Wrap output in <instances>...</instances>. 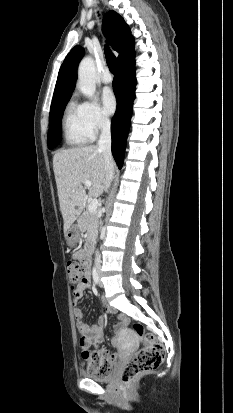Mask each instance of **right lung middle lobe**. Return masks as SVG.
I'll return each mask as SVG.
<instances>
[{
  "instance_id": "1",
  "label": "right lung middle lobe",
  "mask_w": 233,
  "mask_h": 413,
  "mask_svg": "<svg viewBox=\"0 0 233 413\" xmlns=\"http://www.w3.org/2000/svg\"><path fill=\"white\" fill-rule=\"evenodd\" d=\"M70 98L51 104L49 114L48 147L55 148L61 140V120L63 111Z\"/></svg>"
}]
</instances>
